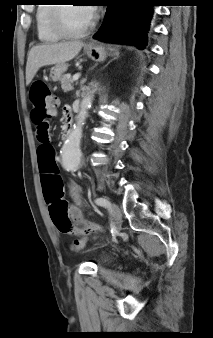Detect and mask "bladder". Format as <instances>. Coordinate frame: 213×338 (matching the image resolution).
Wrapping results in <instances>:
<instances>
[{"label": "bladder", "mask_w": 213, "mask_h": 338, "mask_svg": "<svg viewBox=\"0 0 213 338\" xmlns=\"http://www.w3.org/2000/svg\"><path fill=\"white\" fill-rule=\"evenodd\" d=\"M101 260H102L101 263H102L103 265H105V264H107V263H109V262L112 261V257L109 256V255H105V256L102 257Z\"/></svg>", "instance_id": "bladder-1"}]
</instances>
